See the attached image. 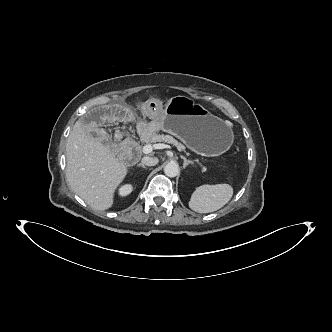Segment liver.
<instances>
[{"label":"liver","instance_id":"6515ba94","mask_svg":"<svg viewBox=\"0 0 332 332\" xmlns=\"http://www.w3.org/2000/svg\"><path fill=\"white\" fill-rule=\"evenodd\" d=\"M66 161L71 189L96 210L112 207L127 165L108 146L88 135L81 121L75 123L67 139Z\"/></svg>","mask_w":332,"mask_h":332}]
</instances>
